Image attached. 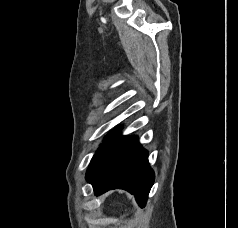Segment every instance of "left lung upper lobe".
<instances>
[{
	"label": "left lung upper lobe",
	"mask_w": 238,
	"mask_h": 228,
	"mask_svg": "<svg viewBox=\"0 0 238 228\" xmlns=\"http://www.w3.org/2000/svg\"><path fill=\"white\" fill-rule=\"evenodd\" d=\"M120 128L115 129L112 133H110L106 138L103 145L96 151L95 155L93 156L89 168L86 172V177H89L99 166L105 153L107 152L111 142L115 138L116 134L119 132Z\"/></svg>",
	"instance_id": "obj_1"
}]
</instances>
